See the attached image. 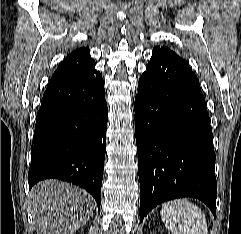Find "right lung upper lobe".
<instances>
[{
	"label": "right lung upper lobe",
	"instance_id": "1",
	"mask_svg": "<svg viewBox=\"0 0 241 234\" xmlns=\"http://www.w3.org/2000/svg\"><path fill=\"white\" fill-rule=\"evenodd\" d=\"M95 64L88 47L79 48L70 53L54 72L51 81L79 73Z\"/></svg>",
	"mask_w": 241,
	"mask_h": 234
}]
</instances>
